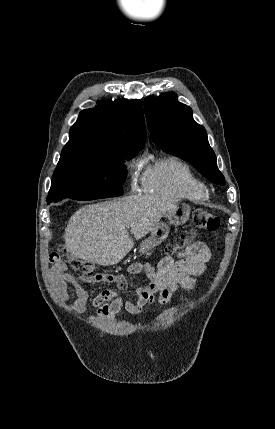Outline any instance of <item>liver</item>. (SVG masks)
I'll list each match as a JSON object with an SVG mask.
<instances>
[{
  "label": "liver",
  "mask_w": 275,
  "mask_h": 429,
  "mask_svg": "<svg viewBox=\"0 0 275 429\" xmlns=\"http://www.w3.org/2000/svg\"><path fill=\"white\" fill-rule=\"evenodd\" d=\"M176 200L155 195H131L84 206L70 218L64 233L65 247L72 256L102 266L119 263L134 241L150 232Z\"/></svg>",
  "instance_id": "6515ba94"
}]
</instances>
